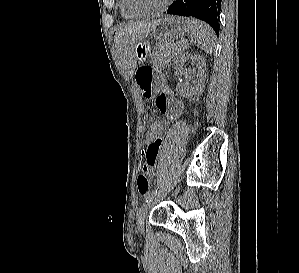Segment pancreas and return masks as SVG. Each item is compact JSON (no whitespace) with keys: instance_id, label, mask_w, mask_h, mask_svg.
I'll list each match as a JSON object with an SVG mask.
<instances>
[{"instance_id":"cf45deb5","label":"pancreas","mask_w":299,"mask_h":273,"mask_svg":"<svg viewBox=\"0 0 299 273\" xmlns=\"http://www.w3.org/2000/svg\"><path fill=\"white\" fill-rule=\"evenodd\" d=\"M183 49L184 45L182 43H158L152 50V63L155 67H161Z\"/></svg>"}]
</instances>
